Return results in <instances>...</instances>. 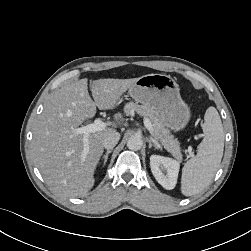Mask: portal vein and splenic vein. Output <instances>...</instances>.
Masks as SVG:
<instances>
[{
	"mask_svg": "<svg viewBox=\"0 0 251 251\" xmlns=\"http://www.w3.org/2000/svg\"><path fill=\"white\" fill-rule=\"evenodd\" d=\"M144 126L147 128L148 131L152 133L153 128L152 124L149 119L144 118L143 120ZM106 123L103 122L101 119L97 118L95 121L91 124H88L86 126H82L79 128L74 129V133L76 134H83V143H84V151L87 152L89 147H88V136L90 133H94L97 131H102L106 128Z\"/></svg>",
	"mask_w": 251,
	"mask_h": 251,
	"instance_id": "18ae733b",
	"label": "portal vein and splenic vein"
}]
</instances>
